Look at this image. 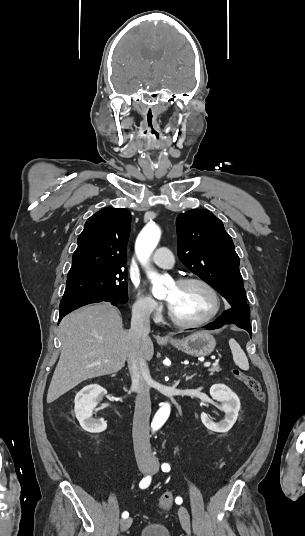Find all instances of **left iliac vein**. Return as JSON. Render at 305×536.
<instances>
[{
    "label": "left iliac vein",
    "instance_id": "4c4485c4",
    "mask_svg": "<svg viewBox=\"0 0 305 536\" xmlns=\"http://www.w3.org/2000/svg\"><path fill=\"white\" fill-rule=\"evenodd\" d=\"M158 470V465L157 463H154V465L151 467L150 469V473L152 474H155ZM178 515H179V519H180V523L184 529V531L187 533V534H190V515L187 511V509L183 506H181L179 509H178Z\"/></svg>",
    "mask_w": 305,
    "mask_h": 536
}]
</instances>
